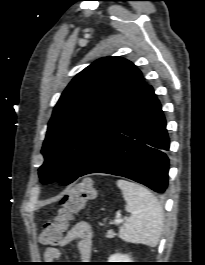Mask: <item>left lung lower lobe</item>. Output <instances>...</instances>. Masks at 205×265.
I'll use <instances>...</instances> for the list:
<instances>
[{
  "label": "left lung lower lobe",
  "instance_id": "0a47b994",
  "mask_svg": "<svg viewBox=\"0 0 205 265\" xmlns=\"http://www.w3.org/2000/svg\"><path fill=\"white\" fill-rule=\"evenodd\" d=\"M168 150L165 117L153 88L148 85L134 109L77 178L90 173L113 174L164 193L168 185Z\"/></svg>",
  "mask_w": 205,
  "mask_h": 265
}]
</instances>
